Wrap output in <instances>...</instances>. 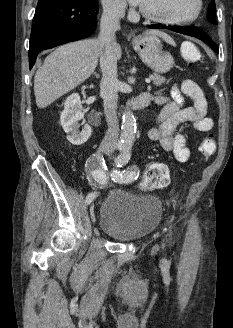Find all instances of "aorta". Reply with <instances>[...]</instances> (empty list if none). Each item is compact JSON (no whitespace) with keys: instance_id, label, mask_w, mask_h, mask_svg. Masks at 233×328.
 <instances>
[{"instance_id":"aorta-1","label":"aorta","mask_w":233,"mask_h":328,"mask_svg":"<svg viewBox=\"0 0 233 328\" xmlns=\"http://www.w3.org/2000/svg\"><path fill=\"white\" fill-rule=\"evenodd\" d=\"M136 119L133 112L125 109L122 114L120 147L125 150L131 149L136 135Z\"/></svg>"}]
</instances>
